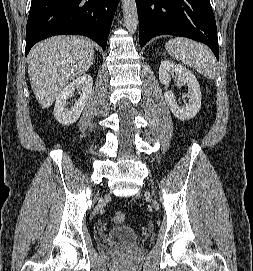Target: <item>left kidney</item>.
I'll use <instances>...</instances> for the list:
<instances>
[{"label":"left kidney","instance_id":"5707ae66","mask_svg":"<svg viewBox=\"0 0 253 271\" xmlns=\"http://www.w3.org/2000/svg\"><path fill=\"white\" fill-rule=\"evenodd\" d=\"M177 77L178 83L187 85L189 98L185 106L177 104L174 93L167 91L164 94L165 101L171 112L180 120H190L196 116L201 108V91L196 77L185 67L171 61H162L159 67V80L163 85H168L171 76Z\"/></svg>","mask_w":253,"mask_h":271}]
</instances>
